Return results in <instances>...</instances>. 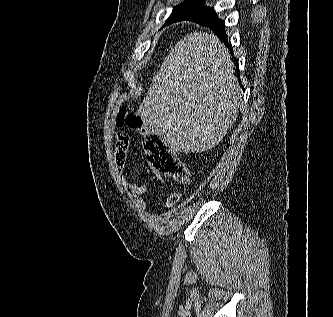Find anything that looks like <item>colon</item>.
Returning a JSON list of instances; mask_svg holds the SVG:
<instances>
[{"instance_id": "1", "label": "colon", "mask_w": 333, "mask_h": 317, "mask_svg": "<svg viewBox=\"0 0 333 317\" xmlns=\"http://www.w3.org/2000/svg\"><path fill=\"white\" fill-rule=\"evenodd\" d=\"M117 125L141 132L146 157L155 169L171 176L180 184L189 183L190 174L185 163L178 158L172 148L161 137L146 127L139 115L128 111H120L117 117Z\"/></svg>"}]
</instances>
